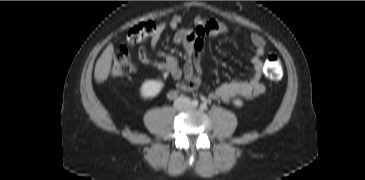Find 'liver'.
Instances as JSON below:
<instances>
[{
  "instance_id": "6515ba94",
  "label": "liver",
  "mask_w": 365,
  "mask_h": 180,
  "mask_svg": "<svg viewBox=\"0 0 365 180\" xmlns=\"http://www.w3.org/2000/svg\"><path fill=\"white\" fill-rule=\"evenodd\" d=\"M113 53L114 46L112 43H109L96 62L94 70V78L96 82L103 83L108 79L111 72Z\"/></svg>"
}]
</instances>
